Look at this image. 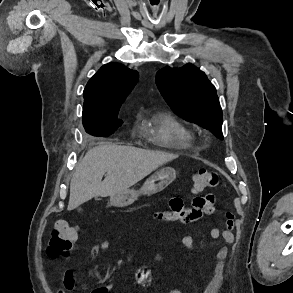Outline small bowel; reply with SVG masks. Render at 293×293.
Here are the masks:
<instances>
[{
    "mask_svg": "<svg viewBox=\"0 0 293 293\" xmlns=\"http://www.w3.org/2000/svg\"><path fill=\"white\" fill-rule=\"evenodd\" d=\"M194 199L199 202L194 203ZM215 211V196L212 193L204 196H198L193 198L192 206L185 208L183 201L179 197H174L169 201L168 208L164 211H155L152 213V217L160 222L165 223H193L198 221L202 216L209 215ZM211 236L213 238H221L226 243L232 244L235 240L234 234L230 231L219 230L218 228L211 229ZM183 246L191 253L195 254L196 250L193 244V237L190 234H186L182 237ZM111 248V242L108 239H104L98 244L92 246L90 253L93 258H98L102 252L108 251ZM227 248L222 247L217 252V261L213 269L211 279L206 286L203 293H217L223 280L224 263L227 258ZM137 282L147 287L151 284L152 275L151 272L145 268H139L136 273ZM75 287V281L73 273L70 270H66L63 279V288H59L56 293H66V291H73ZM114 288L112 283H107L91 291V293H110ZM167 293H182L180 289L173 288Z\"/></svg>",
    "mask_w": 293,
    "mask_h": 293,
    "instance_id": "c3829d8e",
    "label": "small bowel"
}]
</instances>
